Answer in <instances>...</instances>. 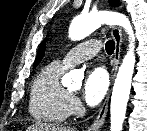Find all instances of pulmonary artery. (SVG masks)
<instances>
[{
    "label": "pulmonary artery",
    "instance_id": "obj_1",
    "mask_svg": "<svg viewBox=\"0 0 147 131\" xmlns=\"http://www.w3.org/2000/svg\"><path fill=\"white\" fill-rule=\"evenodd\" d=\"M100 48L101 44L98 40H88L68 51L59 63L65 68H70L96 56L100 51Z\"/></svg>",
    "mask_w": 147,
    "mask_h": 131
}]
</instances>
